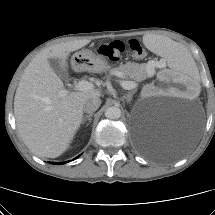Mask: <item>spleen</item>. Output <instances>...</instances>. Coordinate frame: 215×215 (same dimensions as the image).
<instances>
[{"mask_svg":"<svg viewBox=\"0 0 215 215\" xmlns=\"http://www.w3.org/2000/svg\"><path fill=\"white\" fill-rule=\"evenodd\" d=\"M144 43L148 48H153L156 52H159L165 58L167 64L181 67L188 74H193L197 70L194 55L187 53L177 43L153 34L146 35Z\"/></svg>","mask_w":215,"mask_h":215,"instance_id":"3e777b00","label":"spleen"}]
</instances>
